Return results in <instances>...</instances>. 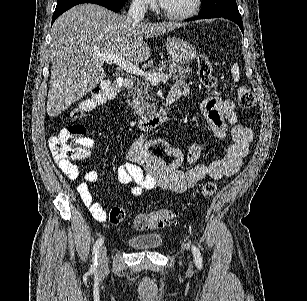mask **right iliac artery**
Wrapping results in <instances>:
<instances>
[{
  "label": "right iliac artery",
  "mask_w": 307,
  "mask_h": 301,
  "mask_svg": "<svg viewBox=\"0 0 307 301\" xmlns=\"http://www.w3.org/2000/svg\"><path fill=\"white\" fill-rule=\"evenodd\" d=\"M102 244H103V238H99L94 244L93 258H92V265H91L92 270H95L98 266V254H99V249L102 246Z\"/></svg>",
  "instance_id": "obj_1"
}]
</instances>
